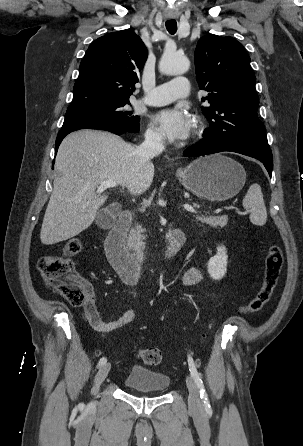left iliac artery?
Listing matches in <instances>:
<instances>
[{"label":"left iliac artery","mask_w":303,"mask_h":446,"mask_svg":"<svg viewBox=\"0 0 303 446\" xmlns=\"http://www.w3.org/2000/svg\"><path fill=\"white\" fill-rule=\"evenodd\" d=\"M188 365H189V371L191 373V376L193 377V379L200 391V397L203 401L204 408L209 413L211 411V406H210V402L208 399V395H207L206 389L204 387L203 381L196 369L195 363L191 356H188Z\"/></svg>","instance_id":"44dca946"}]
</instances>
